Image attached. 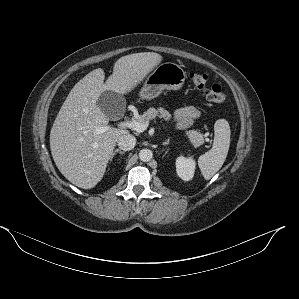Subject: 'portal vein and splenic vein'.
I'll list each match as a JSON object with an SVG mask.
<instances>
[{"label": "portal vein and splenic vein", "mask_w": 299, "mask_h": 299, "mask_svg": "<svg viewBox=\"0 0 299 299\" xmlns=\"http://www.w3.org/2000/svg\"><path fill=\"white\" fill-rule=\"evenodd\" d=\"M149 123L148 122H143V123H140V122H137V121H122L119 123L118 126L120 127H128V128H131L132 130L136 131V132H143L147 129ZM108 128L107 127H102L100 129L97 130V133L100 134V133H103L104 131H106Z\"/></svg>", "instance_id": "1"}]
</instances>
